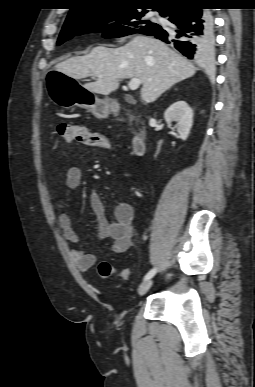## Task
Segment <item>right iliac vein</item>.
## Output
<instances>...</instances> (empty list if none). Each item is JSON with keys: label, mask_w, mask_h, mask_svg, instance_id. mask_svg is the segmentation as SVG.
<instances>
[{"label": "right iliac vein", "mask_w": 255, "mask_h": 387, "mask_svg": "<svg viewBox=\"0 0 255 387\" xmlns=\"http://www.w3.org/2000/svg\"><path fill=\"white\" fill-rule=\"evenodd\" d=\"M153 284V281L152 280H146L144 281L138 288V294L140 296H143L144 294H146L148 292V290L151 288Z\"/></svg>", "instance_id": "obj_1"}]
</instances>
